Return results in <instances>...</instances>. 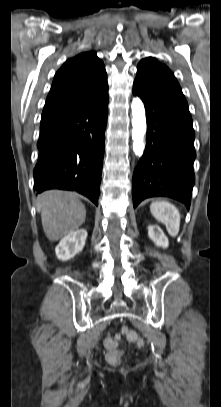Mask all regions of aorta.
Masks as SVG:
<instances>
[{
    "mask_svg": "<svg viewBox=\"0 0 221 407\" xmlns=\"http://www.w3.org/2000/svg\"><path fill=\"white\" fill-rule=\"evenodd\" d=\"M131 110L133 151L136 156L141 157L145 149L144 136L146 134L147 125L145 108L142 101L138 97L133 98Z\"/></svg>",
    "mask_w": 221,
    "mask_h": 407,
    "instance_id": "1",
    "label": "aorta"
}]
</instances>
